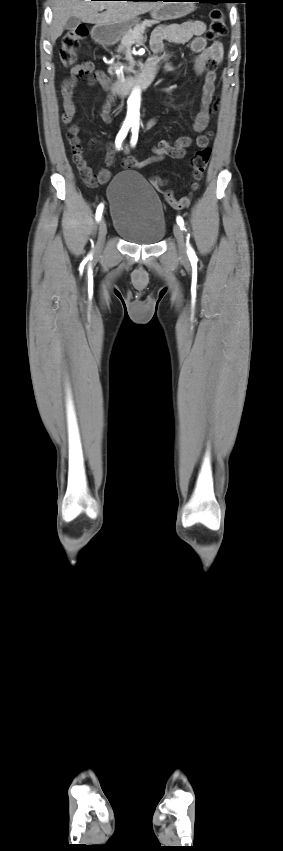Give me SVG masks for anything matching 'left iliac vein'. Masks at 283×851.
<instances>
[{"label":"left iliac vein","mask_w":283,"mask_h":851,"mask_svg":"<svg viewBox=\"0 0 283 851\" xmlns=\"http://www.w3.org/2000/svg\"><path fill=\"white\" fill-rule=\"evenodd\" d=\"M173 233H174L175 239L177 241L179 253L182 257H185L186 256V246H185V241H184V235H183L181 227L178 224H175L173 226Z\"/></svg>","instance_id":"4c4485c4"}]
</instances>
